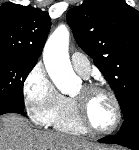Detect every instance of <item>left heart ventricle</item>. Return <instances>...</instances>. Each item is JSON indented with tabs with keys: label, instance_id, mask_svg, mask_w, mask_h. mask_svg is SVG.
<instances>
[{
	"label": "left heart ventricle",
	"instance_id": "b2bd125f",
	"mask_svg": "<svg viewBox=\"0 0 139 150\" xmlns=\"http://www.w3.org/2000/svg\"><path fill=\"white\" fill-rule=\"evenodd\" d=\"M84 94L81 87L75 94L80 97ZM87 114L91 124L99 130L110 128L115 121V107L111 98L104 93H95L87 98Z\"/></svg>",
	"mask_w": 139,
	"mask_h": 150
}]
</instances>
